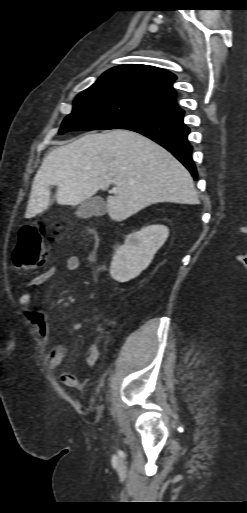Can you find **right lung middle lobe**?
Listing matches in <instances>:
<instances>
[{
  "mask_svg": "<svg viewBox=\"0 0 247 513\" xmlns=\"http://www.w3.org/2000/svg\"><path fill=\"white\" fill-rule=\"evenodd\" d=\"M171 111L170 107L155 104L136 93L104 87L89 89L76 97L73 111L63 120L59 134L121 128Z\"/></svg>",
  "mask_w": 247,
  "mask_h": 513,
  "instance_id": "obj_1",
  "label": "right lung middle lobe"
}]
</instances>
